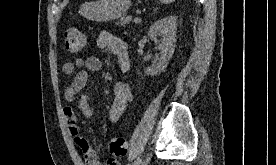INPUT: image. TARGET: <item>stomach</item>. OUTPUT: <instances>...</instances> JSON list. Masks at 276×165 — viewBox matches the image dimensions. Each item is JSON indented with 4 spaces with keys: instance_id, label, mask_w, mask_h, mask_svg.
<instances>
[{
    "instance_id": "0dacf381",
    "label": "stomach",
    "mask_w": 276,
    "mask_h": 165,
    "mask_svg": "<svg viewBox=\"0 0 276 165\" xmlns=\"http://www.w3.org/2000/svg\"><path fill=\"white\" fill-rule=\"evenodd\" d=\"M129 6V0H97L82 4L79 13L88 20L105 22L124 16Z\"/></svg>"
}]
</instances>
